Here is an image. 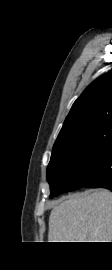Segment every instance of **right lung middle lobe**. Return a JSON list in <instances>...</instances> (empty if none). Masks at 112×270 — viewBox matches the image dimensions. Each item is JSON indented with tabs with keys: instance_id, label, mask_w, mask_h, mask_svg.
Instances as JSON below:
<instances>
[{
	"instance_id": "dd1d6c3e",
	"label": "right lung middle lobe",
	"mask_w": 112,
	"mask_h": 270,
	"mask_svg": "<svg viewBox=\"0 0 112 270\" xmlns=\"http://www.w3.org/2000/svg\"><path fill=\"white\" fill-rule=\"evenodd\" d=\"M112 143V121L99 124L58 145L53 146L47 180L50 197L82 186L89 165Z\"/></svg>"
}]
</instances>
